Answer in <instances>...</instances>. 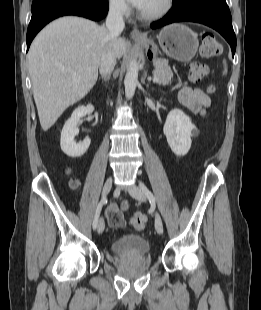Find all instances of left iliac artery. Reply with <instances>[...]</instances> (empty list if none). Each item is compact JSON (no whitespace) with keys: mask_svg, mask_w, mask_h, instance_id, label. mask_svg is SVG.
I'll return each instance as SVG.
<instances>
[{"mask_svg":"<svg viewBox=\"0 0 261 310\" xmlns=\"http://www.w3.org/2000/svg\"><path fill=\"white\" fill-rule=\"evenodd\" d=\"M140 189L143 191V193L146 195V197L149 199L150 202H155V197L152 194V192L146 187V185L143 182H139Z\"/></svg>","mask_w":261,"mask_h":310,"instance_id":"left-iliac-artery-1","label":"left iliac artery"}]
</instances>
